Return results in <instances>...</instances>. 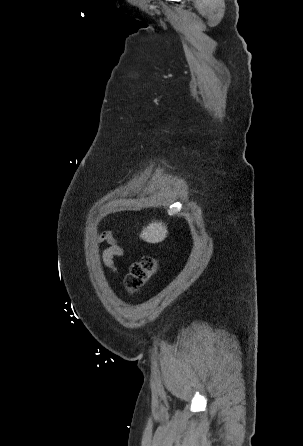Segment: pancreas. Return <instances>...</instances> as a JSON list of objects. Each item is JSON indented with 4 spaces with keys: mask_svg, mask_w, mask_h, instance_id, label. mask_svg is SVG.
I'll use <instances>...</instances> for the list:
<instances>
[{
    "mask_svg": "<svg viewBox=\"0 0 303 446\" xmlns=\"http://www.w3.org/2000/svg\"><path fill=\"white\" fill-rule=\"evenodd\" d=\"M141 7H142L143 9L147 10V8H146L145 6L141 5Z\"/></svg>",
    "mask_w": 303,
    "mask_h": 446,
    "instance_id": "pancreas-1",
    "label": "pancreas"
}]
</instances>
